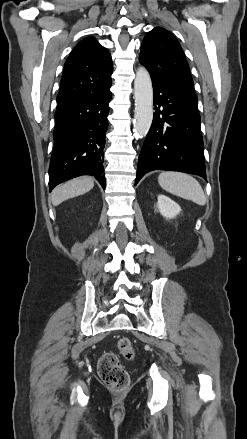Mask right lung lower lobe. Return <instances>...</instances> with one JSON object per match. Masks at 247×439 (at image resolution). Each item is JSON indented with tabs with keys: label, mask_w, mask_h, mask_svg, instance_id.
<instances>
[{
	"label": "right lung lower lobe",
	"mask_w": 247,
	"mask_h": 439,
	"mask_svg": "<svg viewBox=\"0 0 247 439\" xmlns=\"http://www.w3.org/2000/svg\"><path fill=\"white\" fill-rule=\"evenodd\" d=\"M111 85L57 105L54 148L49 167L50 191L80 175H92L105 188L103 149L108 128Z\"/></svg>",
	"instance_id": "obj_1"
}]
</instances>
